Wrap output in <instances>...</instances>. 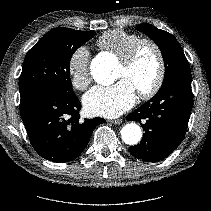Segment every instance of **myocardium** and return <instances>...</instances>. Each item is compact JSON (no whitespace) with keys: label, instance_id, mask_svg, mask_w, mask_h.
<instances>
[{"label":"myocardium","instance_id":"myocardium-1","mask_svg":"<svg viewBox=\"0 0 211 211\" xmlns=\"http://www.w3.org/2000/svg\"><path fill=\"white\" fill-rule=\"evenodd\" d=\"M144 46H150L154 50L158 64V71L153 84L147 90L138 92V95L141 99L148 100L154 97L159 92L164 83L166 75L165 58L160 45L151 38H140L130 47L127 53L120 59V64L125 69L130 68L135 62V59L137 58V55L139 54L141 48Z\"/></svg>","mask_w":211,"mask_h":211}]
</instances>
